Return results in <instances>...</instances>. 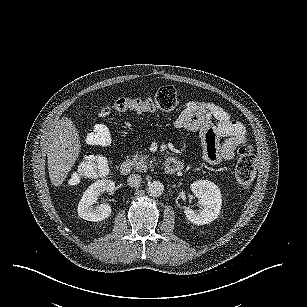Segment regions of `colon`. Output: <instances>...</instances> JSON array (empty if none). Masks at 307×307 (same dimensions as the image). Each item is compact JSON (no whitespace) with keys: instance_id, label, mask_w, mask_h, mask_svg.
<instances>
[{"instance_id":"colon-1","label":"colon","mask_w":307,"mask_h":307,"mask_svg":"<svg viewBox=\"0 0 307 307\" xmlns=\"http://www.w3.org/2000/svg\"><path fill=\"white\" fill-rule=\"evenodd\" d=\"M180 102L177 91L166 86L155 93L145 97H120L111 105L103 107L99 114L106 116L112 110L115 111H169L178 106ZM88 143L95 146H109L112 143V135L109 128L104 124L96 125L88 135ZM109 169V160L104 156L87 154L81 158L68 176V184L74 185L85 179L105 174ZM235 174L238 183L243 188H249L255 178L256 165L253 148L248 143H243L237 150V163Z\"/></svg>"}]
</instances>
